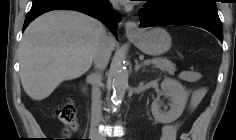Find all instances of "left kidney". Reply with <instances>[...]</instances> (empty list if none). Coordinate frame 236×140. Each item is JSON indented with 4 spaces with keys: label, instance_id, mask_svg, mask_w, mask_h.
<instances>
[{
    "label": "left kidney",
    "instance_id": "5707ae66",
    "mask_svg": "<svg viewBox=\"0 0 236 140\" xmlns=\"http://www.w3.org/2000/svg\"><path fill=\"white\" fill-rule=\"evenodd\" d=\"M162 95L169 97L170 110L162 111L160 97H157L151 105V111L156 121L167 124L178 119L186 106L188 93L177 80L166 78L161 83Z\"/></svg>",
    "mask_w": 236,
    "mask_h": 140
}]
</instances>
